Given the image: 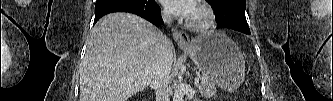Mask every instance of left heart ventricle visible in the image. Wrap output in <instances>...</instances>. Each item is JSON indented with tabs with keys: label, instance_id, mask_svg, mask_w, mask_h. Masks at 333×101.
Wrapping results in <instances>:
<instances>
[{
	"label": "left heart ventricle",
	"instance_id": "left-heart-ventricle-1",
	"mask_svg": "<svg viewBox=\"0 0 333 101\" xmlns=\"http://www.w3.org/2000/svg\"><path fill=\"white\" fill-rule=\"evenodd\" d=\"M189 17L193 20H201L202 14L198 9L194 8L193 12L191 13V15Z\"/></svg>",
	"mask_w": 333,
	"mask_h": 101
}]
</instances>
